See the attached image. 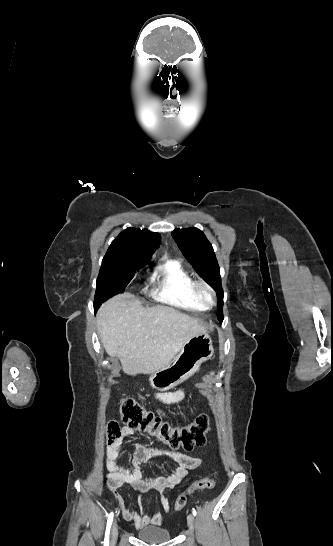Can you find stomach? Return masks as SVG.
Listing matches in <instances>:
<instances>
[{
  "instance_id": "1",
  "label": "stomach",
  "mask_w": 333,
  "mask_h": 546,
  "mask_svg": "<svg viewBox=\"0 0 333 546\" xmlns=\"http://www.w3.org/2000/svg\"><path fill=\"white\" fill-rule=\"evenodd\" d=\"M213 353L210 335L198 334L186 342L167 366L151 374L150 383L159 391H168L195 374L203 362L211 359Z\"/></svg>"
}]
</instances>
